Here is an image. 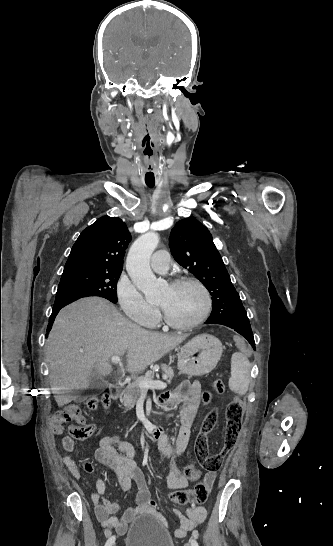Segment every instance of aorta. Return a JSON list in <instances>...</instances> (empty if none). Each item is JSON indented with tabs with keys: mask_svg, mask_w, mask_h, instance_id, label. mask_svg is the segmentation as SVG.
<instances>
[{
	"mask_svg": "<svg viewBox=\"0 0 333 546\" xmlns=\"http://www.w3.org/2000/svg\"><path fill=\"white\" fill-rule=\"evenodd\" d=\"M158 243L159 236L156 233H145L132 244L126 259L129 276L149 301L154 300L158 294L157 279L150 268V257Z\"/></svg>",
	"mask_w": 333,
	"mask_h": 546,
	"instance_id": "1",
	"label": "aorta"
}]
</instances>
